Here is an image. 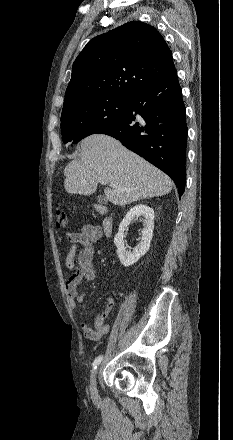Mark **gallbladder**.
Instances as JSON below:
<instances>
[{"label": "gallbladder", "mask_w": 233, "mask_h": 440, "mask_svg": "<svg viewBox=\"0 0 233 440\" xmlns=\"http://www.w3.org/2000/svg\"><path fill=\"white\" fill-rule=\"evenodd\" d=\"M97 200H98V202H99L100 204H105V203H107V198H106L105 196H103V195H99V196L97 197Z\"/></svg>", "instance_id": "1"}]
</instances>
